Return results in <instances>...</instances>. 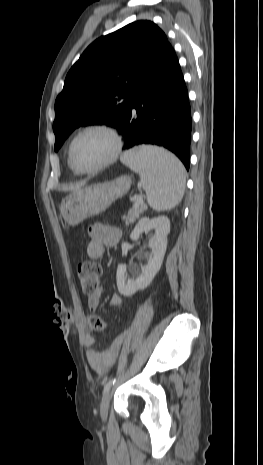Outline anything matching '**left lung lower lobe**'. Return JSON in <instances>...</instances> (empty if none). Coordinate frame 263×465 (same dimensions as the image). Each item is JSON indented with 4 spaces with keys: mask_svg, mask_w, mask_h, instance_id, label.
<instances>
[{
    "mask_svg": "<svg viewBox=\"0 0 263 465\" xmlns=\"http://www.w3.org/2000/svg\"><path fill=\"white\" fill-rule=\"evenodd\" d=\"M192 120L187 88L168 43L132 89L130 106L119 128L123 149L138 144L163 146L190 166Z\"/></svg>",
    "mask_w": 263,
    "mask_h": 465,
    "instance_id": "left-lung-lower-lobe-1",
    "label": "left lung lower lobe"
}]
</instances>
